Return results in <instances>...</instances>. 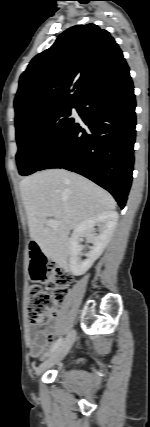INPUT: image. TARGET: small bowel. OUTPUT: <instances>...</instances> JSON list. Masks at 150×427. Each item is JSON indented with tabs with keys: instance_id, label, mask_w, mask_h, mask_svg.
I'll list each match as a JSON object with an SVG mask.
<instances>
[{
	"instance_id": "obj_1",
	"label": "small bowel",
	"mask_w": 150,
	"mask_h": 427,
	"mask_svg": "<svg viewBox=\"0 0 150 427\" xmlns=\"http://www.w3.org/2000/svg\"><path fill=\"white\" fill-rule=\"evenodd\" d=\"M52 337V327L33 329L29 333V355L33 358L41 356Z\"/></svg>"
}]
</instances>
